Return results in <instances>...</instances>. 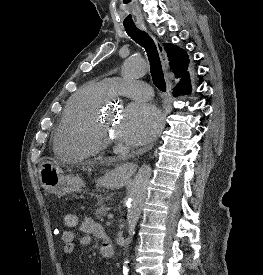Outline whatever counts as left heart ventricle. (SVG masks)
Listing matches in <instances>:
<instances>
[{"mask_svg": "<svg viewBox=\"0 0 263 275\" xmlns=\"http://www.w3.org/2000/svg\"><path fill=\"white\" fill-rule=\"evenodd\" d=\"M103 126L106 133L116 136L117 131V121H115V117L112 115H107L103 117Z\"/></svg>", "mask_w": 263, "mask_h": 275, "instance_id": "left-heart-ventricle-1", "label": "left heart ventricle"}]
</instances>
